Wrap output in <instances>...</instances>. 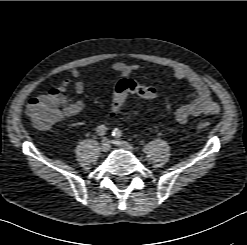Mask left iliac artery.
Returning a JSON list of instances; mask_svg holds the SVG:
<instances>
[{
  "label": "left iliac artery",
  "mask_w": 247,
  "mask_h": 245,
  "mask_svg": "<svg viewBox=\"0 0 247 245\" xmlns=\"http://www.w3.org/2000/svg\"><path fill=\"white\" fill-rule=\"evenodd\" d=\"M112 135L115 137V138H120L122 136V132L120 129L118 128H115L112 132Z\"/></svg>",
  "instance_id": "44dca946"
}]
</instances>
